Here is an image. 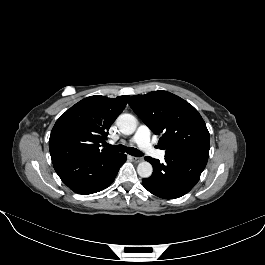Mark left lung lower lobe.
I'll return each instance as SVG.
<instances>
[{"instance_id":"left-lung-lower-lobe-1","label":"left lung lower lobe","mask_w":265,"mask_h":265,"mask_svg":"<svg viewBox=\"0 0 265 265\" xmlns=\"http://www.w3.org/2000/svg\"><path fill=\"white\" fill-rule=\"evenodd\" d=\"M209 145L197 146L165 154V162L146 157L153 166V174L142 180L152 194L175 199L188 193L199 181L209 156Z\"/></svg>"}]
</instances>
